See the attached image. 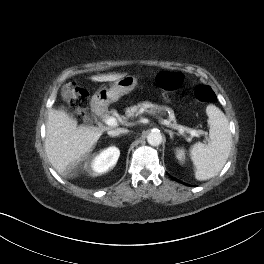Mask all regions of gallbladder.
Wrapping results in <instances>:
<instances>
[{"label":"gallbladder","instance_id":"bac80fb5","mask_svg":"<svg viewBox=\"0 0 264 264\" xmlns=\"http://www.w3.org/2000/svg\"><path fill=\"white\" fill-rule=\"evenodd\" d=\"M61 96L63 98L64 101H69L70 98H71V92H70V88L66 85H64L61 89ZM85 120H88V121H92V117H86Z\"/></svg>","mask_w":264,"mask_h":264}]
</instances>
